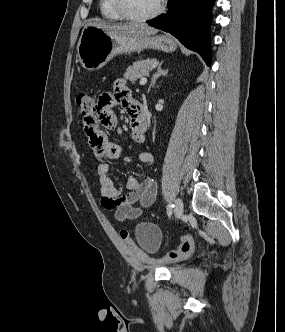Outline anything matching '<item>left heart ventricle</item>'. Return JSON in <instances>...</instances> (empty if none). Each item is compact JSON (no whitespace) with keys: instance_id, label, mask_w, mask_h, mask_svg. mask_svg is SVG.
Here are the masks:
<instances>
[{"instance_id":"obj_1","label":"left heart ventricle","mask_w":285,"mask_h":332,"mask_svg":"<svg viewBox=\"0 0 285 332\" xmlns=\"http://www.w3.org/2000/svg\"><path fill=\"white\" fill-rule=\"evenodd\" d=\"M130 12L136 15H146L153 12L159 5V0H124Z\"/></svg>"}]
</instances>
